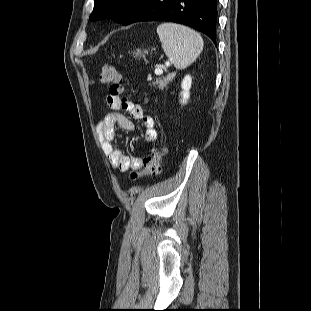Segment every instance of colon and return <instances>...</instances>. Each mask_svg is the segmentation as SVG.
<instances>
[{
    "instance_id": "5ec220e1",
    "label": "colon",
    "mask_w": 311,
    "mask_h": 311,
    "mask_svg": "<svg viewBox=\"0 0 311 311\" xmlns=\"http://www.w3.org/2000/svg\"><path fill=\"white\" fill-rule=\"evenodd\" d=\"M99 79L102 85L108 87L110 95L119 96L122 93V77L115 65H105L101 70ZM165 154L166 150L163 147H154L150 155L144 160L143 171H133L131 178L136 180L140 176H155L159 174L161 171V161Z\"/></svg>"
}]
</instances>
